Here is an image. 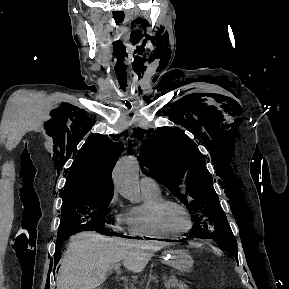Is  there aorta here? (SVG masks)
Listing matches in <instances>:
<instances>
[{
    "instance_id": "aorta-1",
    "label": "aorta",
    "mask_w": 289,
    "mask_h": 289,
    "mask_svg": "<svg viewBox=\"0 0 289 289\" xmlns=\"http://www.w3.org/2000/svg\"><path fill=\"white\" fill-rule=\"evenodd\" d=\"M138 172L137 159L133 156H125L118 160L112 174L115 189L132 203L140 201Z\"/></svg>"
}]
</instances>
